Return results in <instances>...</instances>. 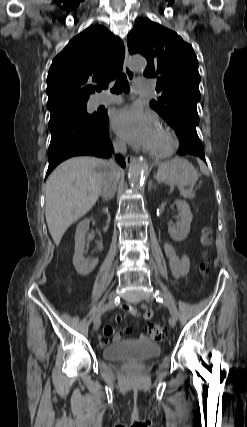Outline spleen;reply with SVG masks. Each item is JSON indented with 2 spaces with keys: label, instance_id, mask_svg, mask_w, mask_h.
I'll list each match as a JSON object with an SVG mask.
<instances>
[{
  "label": "spleen",
  "instance_id": "obj_1",
  "mask_svg": "<svg viewBox=\"0 0 247 427\" xmlns=\"http://www.w3.org/2000/svg\"><path fill=\"white\" fill-rule=\"evenodd\" d=\"M198 163H199L201 172L204 175L208 176L210 174V172H209L208 168L205 166V164L202 161H200V160H198Z\"/></svg>",
  "mask_w": 247,
  "mask_h": 427
}]
</instances>
